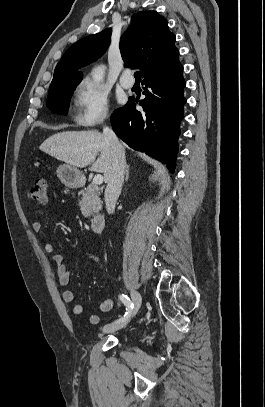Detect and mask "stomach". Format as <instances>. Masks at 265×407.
<instances>
[{
	"label": "stomach",
	"instance_id": "0dacf381",
	"mask_svg": "<svg viewBox=\"0 0 265 407\" xmlns=\"http://www.w3.org/2000/svg\"><path fill=\"white\" fill-rule=\"evenodd\" d=\"M57 176L61 183L69 188L78 187L84 179L83 174L75 167L63 164L57 168Z\"/></svg>",
	"mask_w": 265,
	"mask_h": 407
}]
</instances>
